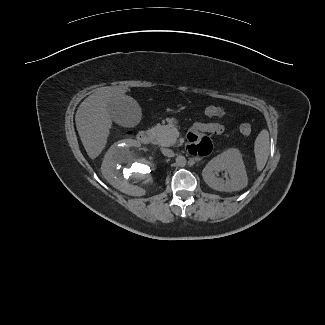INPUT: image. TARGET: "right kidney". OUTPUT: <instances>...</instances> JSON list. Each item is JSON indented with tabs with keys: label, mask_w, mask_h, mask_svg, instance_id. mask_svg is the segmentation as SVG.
Returning a JSON list of instances; mask_svg holds the SVG:
<instances>
[{
	"label": "right kidney",
	"mask_w": 325,
	"mask_h": 325,
	"mask_svg": "<svg viewBox=\"0 0 325 325\" xmlns=\"http://www.w3.org/2000/svg\"><path fill=\"white\" fill-rule=\"evenodd\" d=\"M126 167L122 169V164ZM153 162L141 151L140 144L125 139L113 144L107 151L101 166L104 178L119 191L142 196L154 184Z\"/></svg>",
	"instance_id": "ca27d5eb"
}]
</instances>
